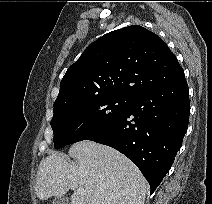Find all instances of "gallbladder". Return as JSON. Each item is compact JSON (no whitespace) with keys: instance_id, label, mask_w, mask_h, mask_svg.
Returning a JSON list of instances; mask_svg holds the SVG:
<instances>
[{"instance_id":"1","label":"gallbladder","mask_w":212,"mask_h":204,"mask_svg":"<svg viewBox=\"0 0 212 204\" xmlns=\"http://www.w3.org/2000/svg\"><path fill=\"white\" fill-rule=\"evenodd\" d=\"M53 204H69V200L65 196L55 197Z\"/></svg>"}]
</instances>
